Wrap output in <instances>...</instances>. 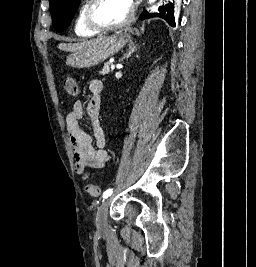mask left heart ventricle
Here are the masks:
<instances>
[{
	"label": "left heart ventricle",
	"mask_w": 256,
	"mask_h": 267,
	"mask_svg": "<svg viewBox=\"0 0 256 267\" xmlns=\"http://www.w3.org/2000/svg\"><path fill=\"white\" fill-rule=\"evenodd\" d=\"M93 14L103 25H116L130 21L132 10L118 0H105L97 4Z\"/></svg>",
	"instance_id": "1"
}]
</instances>
